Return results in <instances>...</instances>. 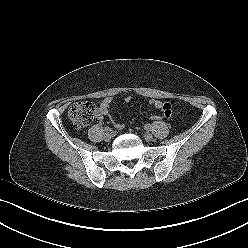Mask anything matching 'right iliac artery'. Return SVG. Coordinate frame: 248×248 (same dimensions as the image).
Instances as JSON below:
<instances>
[{
  "label": "right iliac artery",
  "mask_w": 248,
  "mask_h": 248,
  "mask_svg": "<svg viewBox=\"0 0 248 248\" xmlns=\"http://www.w3.org/2000/svg\"><path fill=\"white\" fill-rule=\"evenodd\" d=\"M104 130H105L106 132H108V131H111V128L108 127V126H105V127H104Z\"/></svg>",
  "instance_id": "obj_1"
}]
</instances>
